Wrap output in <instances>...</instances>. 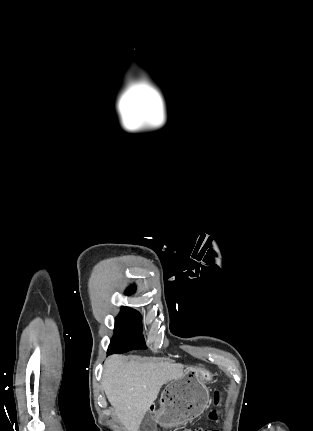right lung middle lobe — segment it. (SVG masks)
Instances as JSON below:
<instances>
[{
	"instance_id": "dd1d6c3e",
	"label": "right lung middle lobe",
	"mask_w": 313,
	"mask_h": 431,
	"mask_svg": "<svg viewBox=\"0 0 313 431\" xmlns=\"http://www.w3.org/2000/svg\"><path fill=\"white\" fill-rule=\"evenodd\" d=\"M142 335V316L129 307H123L116 318L114 336L108 353H125L135 349H146Z\"/></svg>"
}]
</instances>
